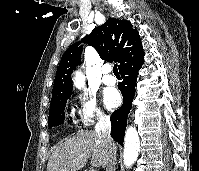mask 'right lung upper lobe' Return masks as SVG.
<instances>
[{
	"instance_id": "obj_1",
	"label": "right lung upper lobe",
	"mask_w": 199,
	"mask_h": 171,
	"mask_svg": "<svg viewBox=\"0 0 199 171\" xmlns=\"http://www.w3.org/2000/svg\"><path fill=\"white\" fill-rule=\"evenodd\" d=\"M82 42L92 45L102 59L118 62L119 69L144 56L140 35L131 22L108 19L65 51L57 68L51 104L71 96V74L80 63L83 46L79 44Z\"/></svg>"
}]
</instances>
